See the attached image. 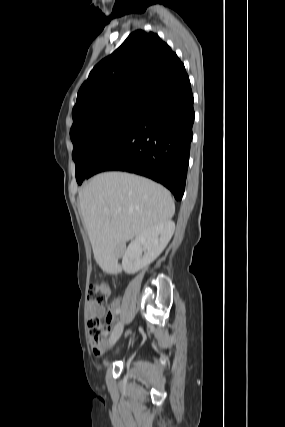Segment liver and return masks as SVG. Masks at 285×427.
Instances as JSON below:
<instances>
[{
    "label": "liver",
    "instance_id": "1",
    "mask_svg": "<svg viewBox=\"0 0 285 427\" xmlns=\"http://www.w3.org/2000/svg\"><path fill=\"white\" fill-rule=\"evenodd\" d=\"M78 197L94 258L103 268L117 266L122 245L175 213V204L164 187L123 172L96 175Z\"/></svg>",
    "mask_w": 285,
    "mask_h": 427
}]
</instances>
